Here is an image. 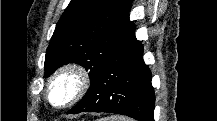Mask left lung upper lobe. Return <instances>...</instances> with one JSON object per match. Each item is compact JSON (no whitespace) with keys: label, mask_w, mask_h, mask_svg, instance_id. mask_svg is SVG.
Returning a JSON list of instances; mask_svg holds the SVG:
<instances>
[{"label":"left lung upper lobe","mask_w":217,"mask_h":121,"mask_svg":"<svg viewBox=\"0 0 217 121\" xmlns=\"http://www.w3.org/2000/svg\"><path fill=\"white\" fill-rule=\"evenodd\" d=\"M130 0H71L59 19L45 57V77L69 62L91 81L133 27Z\"/></svg>","instance_id":"1"}]
</instances>
